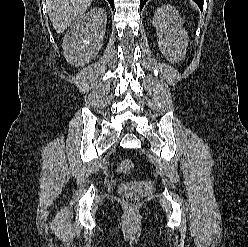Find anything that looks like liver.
<instances>
[{"instance_id":"6515ba94","label":"liver","mask_w":248,"mask_h":247,"mask_svg":"<svg viewBox=\"0 0 248 247\" xmlns=\"http://www.w3.org/2000/svg\"><path fill=\"white\" fill-rule=\"evenodd\" d=\"M93 0H47V11L57 33H63L70 24L80 17Z\"/></svg>"}]
</instances>
